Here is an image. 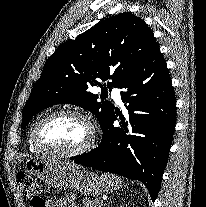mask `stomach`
Wrapping results in <instances>:
<instances>
[{
    "instance_id": "1",
    "label": "stomach",
    "mask_w": 206,
    "mask_h": 207,
    "mask_svg": "<svg viewBox=\"0 0 206 207\" xmlns=\"http://www.w3.org/2000/svg\"><path fill=\"white\" fill-rule=\"evenodd\" d=\"M25 171L51 187L77 190L85 195L99 196L113 188L109 178L77 165L51 158L27 159Z\"/></svg>"
}]
</instances>
